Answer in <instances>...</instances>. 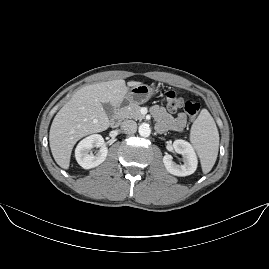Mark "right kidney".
I'll return each instance as SVG.
<instances>
[{"label": "right kidney", "mask_w": 269, "mask_h": 269, "mask_svg": "<svg viewBox=\"0 0 269 269\" xmlns=\"http://www.w3.org/2000/svg\"><path fill=\"white\" fill-rule=\"evenodd\" d=\"M94 147L100 148L96 155L90 153V150ZM107 153L108 148L104 145V139L99 134H93L84 138L75 149L76 160L84 169H91L103 163Z\"/></svg>", "instance_id": "ca27d5eb"}]
</instances>
